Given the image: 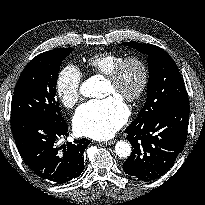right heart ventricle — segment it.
<instances>
[{"label": "right heart ventricle", "mask_w": 205, "mask_h": 205, "mask_svg": "<svg viewBox=\"0 0 205 205\" xmlns=\"http://www.w3.org/2000/svg\"><path fill=\"white\" fill-rule=\"evenodd\" d=\"M123 58L124 56L111 52L96 53L86 59L85 67L91 73L106 76Z\"/></svg>", "instance_id": "1"}]
</instances>
